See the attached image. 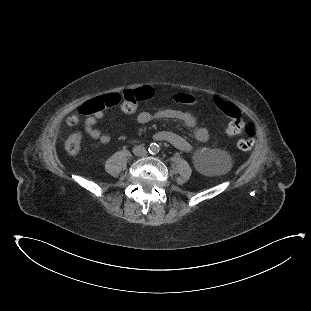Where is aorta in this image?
I'll list each match as a JSON object with an SVG mask.
<instances>
[{
    "label": "aorta",
    "mask_w": 311,
    "mask_h": 311,
    "mask_svg": "<svg viewBox=\"0 0 311 311\" xmlns=\"http://www.w3.org/2000/svg\"><path fill=\"white\" fill-rule=\"evenodd\" d=\"M159 150H160V147H159V145L156 144V143H153V144H151V145L149 146V152H150L151 154H156V153L159 152Z\"/></svg>",
    "instance_id": "aorta-1"
}]
</instances>
